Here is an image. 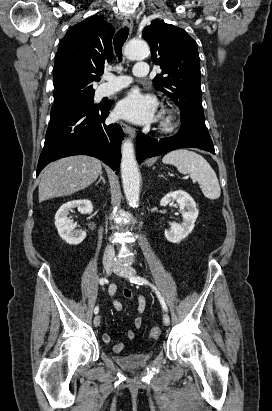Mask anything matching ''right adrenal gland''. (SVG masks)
<instances>
[{
    "label": "right adrenal gland",
    "mask_w": 272,
    "mask_h": 411,
    "mask_svg": "<svg viewBox=\"0 0 272 411\" xmlns=\"http://www.w3.org/2000/svg\"><path fill=\"white\" fill-rule=\"evenodd\" d=\"M101 181H102L104 184L106 183V181H105V179H104V177H103V172L100 173V177H99V180L96 182V185H98Z\"/></svg>",
    "instance_id": "1"
}]
</instances>
